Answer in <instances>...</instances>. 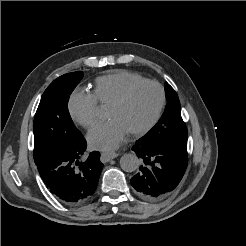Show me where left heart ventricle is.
<instances>
[{
    "mask_svg": "<svg viewBox=\"0 0 246 246\" xmlns=\"http://www.w3.org/2000/svg\"><path fill=\"white\" fill-rule=\"evenodd\" d=\"M160 100V93L154 85H143L136 89L129 99L117 108H109L108 116L118 119L129 132L146 125L154 116Z\"/></svg>",
    "mask_w": 246,
    "mask_h": 246,
    "instance_id": "1",
    "label": "left heart ventricle"
}]
</instances>
